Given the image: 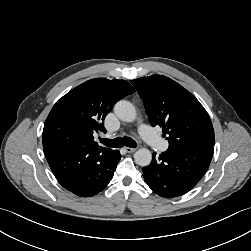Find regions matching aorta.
Listing matches in <instances>:
<instances>
[{
  "label": "aorta",
  "instance_id": "obj_1",
  "mask_svg": "<svg viewBox=\"0 0 251 251\" xmlns=\"http://www.w3.org/2000/svg\"><path fill=\"white\" fill-rule=\"evenodd\" d=\"M116 116L125 122H133L137 113L134 105L126 100L118 101L114 106ZM135 163L139 166H148L152 160V153L147 148H140L134 154Z\"/></svg>",
  "mask_w": 251,
  "mask_h": 251
}]
</instances>
